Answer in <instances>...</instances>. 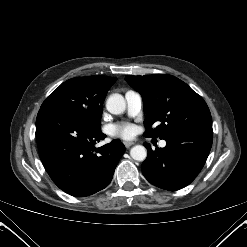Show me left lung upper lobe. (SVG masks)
I'll use <instances>...</instances> for the list:
<instances>
[{
	"label": "left lung upper lobe",
	"instance_id": "left-lung-upper-lobe-1",
	"mask_svg": "<svg viewBox=\"0 0 247 247\" xmlns=\"http://www.w3.org/2000/svg\"><path fill=\"white\" fill-rule=\"evenodd\" d=\"M125 79L143 98L148 115L144 121L147 129L144 136L164 139L187 128L212 126L203 98L180 79L166 74L126 75ZM155 122L159 125L152 129Z\"/></svg>",
	"mask_w": 247,
	"mask_h": 247
}]
</instances>
